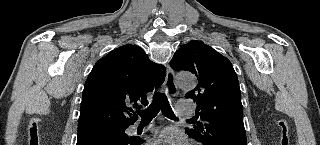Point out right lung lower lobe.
Instances as JSON below:
<instances>
[{
	"label": "right lung lower lobe",
	"instance_id": "98d812e1",
	"mask_svg": "<svg viewBox=\"0 0 320 145\" xmlns=\"http://www.w3.org/2000/svg\"><path fill=\"white\" fill-rule=\"evenodd\" d=\"M143 142L139 137H129L105 129L79 132L77 138V145H141Z\"/></svg>",
	"mask_w": 320,
	"mask_h": 145
}]
</instances>
